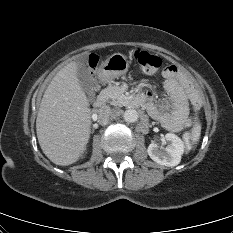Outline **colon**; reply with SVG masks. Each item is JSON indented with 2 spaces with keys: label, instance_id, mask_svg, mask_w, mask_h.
<instances>
[{
  "label": "colon",
  "instance_id": "colon-1",
  "mask_svg": "<svg viewBox=\"0 0 233 233\" xmlns=\"http://www.w3.org/2000/svg\"><path fill=\"white\" fill-rule=\"evenodd\" d=\"M135 58L138 64L140 65V67L143 69V71L148 74L156 73L162 65V60L158 56L151 54L147 51H137L135 53ZM183 140L188 147L192 146L193 144L192 134L190 133L185 134L183 136Z\"/></svg>",
  "mask_w": 233,
  "mask_h": 233
}]
</instances>
